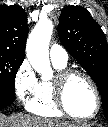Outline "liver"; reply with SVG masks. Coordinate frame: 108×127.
I'll return each mask as SVG.
<instances>
[{
  "label": "liver",
  "instance_id": "obj_1",
  "mask_svg": "<svg viewBox=\"0 0 108 127\" xmlns=\"http://www.w3.org/2000/svg\"><path fill=\"white\" fill-rule=\"evenodd\" d=\"M0 127H90V125L86 123H69L17 113L11 116L0 114Z\"/></svg>",
  "mask_w": 108,
  "mask_h": 127
}]
</instances>
